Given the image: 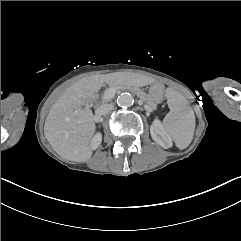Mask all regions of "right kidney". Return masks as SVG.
Returning <instances> with one entry per match:
<instances>
[{"instance_id": "1", "label": "right kidney", "mask_w": 241, "mask_h": 241, "mask_svg": "<svg viewBox=\"0 0 241 241\" xmlns=\"http://www.w3.org/2000/svg\"><path fill=\"white\" fill-rule=\"evenodd\" d=\"M101 140H102L101 135L97 134L92 141V148L96 149L100 145Z\"/></svg>"}]
</instances>
